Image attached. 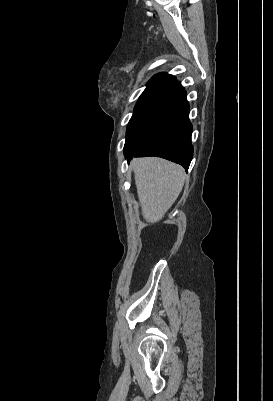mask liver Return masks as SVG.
<instances>
[{"instance_id":"1","label":"liver","mask_w":273,"mask_h":401,"mask_svg":"<svg viewBox=\"0 0 273 401\" xmlns=\"http://www.w3.org/2000/svg\"><path fill=\"white\" fill-rule=\"evenodd\" d=\"M135 184L142 215L147 223H158L175 203L184 184L182 166L164 158H133Z\"/></svg>"}]
</instances>
